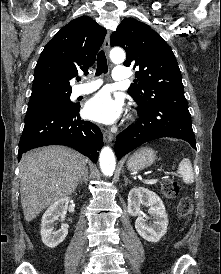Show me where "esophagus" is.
Segmentation results:
<instances>
[{
  "instance_id": "obj_1",
  "label": "esophagus",
  "mask_w": 221,
  "mask_h": 274,
  "mask_svg": "<svg viewBox=\"0 0 221 274\" xmlns=\"http://www.w3.org/2000/svg\"><path fill=\"white\" fill-rule=\"evenodd\" d=\"M103 47H104L105 52L108 54L109 50H110V32H107V34H106ZM101 131L103 133L104 141L106 143H111L113 140V134L105 128H101Z\"/></svg>"
}]
</instances>
